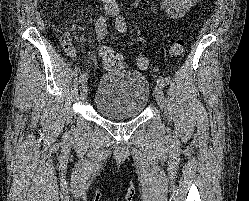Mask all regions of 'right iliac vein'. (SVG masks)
I'll use <instances>...</instances> for the list:
<instances>
[{"mask_svg":"<svg viewBox=\"0 0 249 201\" xmlns=\"http://www.w3.org/2000/svg\"><path fill=\"white\" fill-rule=\"evenodd\" d=\"M106 11L110 15L113 13L111 7H106ZM87 94H88V85L84 82L82 83L80 88V99L84 101L87 97Z\"/></svg>","mask_w":249,"mask_h":201,"instance_id":"63e3f726","label":"right iliac vein"}]
</instances>
